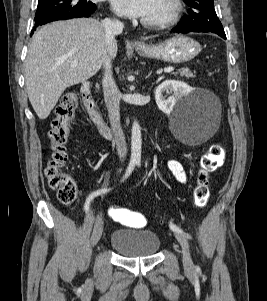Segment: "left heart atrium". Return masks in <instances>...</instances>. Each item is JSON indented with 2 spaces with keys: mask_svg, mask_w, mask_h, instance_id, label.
Instances as JSON below:
<instances>
[{
  "mask_svg": "<svg viewBox=\"0 0 267 301\" xmlns=\"http://www.w3.org/2000/svg\"><path fill=\"white\" fill-rule=\"evenodd\" d=\"M150 0H111L114 11L127 18L144 17L149 9Z\"/></svg>",
  "mask_w": 267,
  "mask_h": 301,
  "instance_id": "left-heart-atrium-1",
  "label": "left heart atrium"
}]
</instances>
